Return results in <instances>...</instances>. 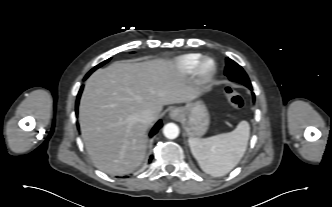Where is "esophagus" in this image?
Returning a JSON list of instances; mask_svg holds the SVG:
<instances>
[{
  "label": "esophagus",
  "instance_id": "34e87169",
  "mask_svg": "<svg viewBox=\"0 0 332 207\" xmlns=\"http://www.w3.org/2000/svg\"><path fill=\"white\" fill-rule=\"evenodd\" d=\"M172 119H179L182 116V110L179 108H174L169 113Z\"/></svg>",
  "mask_w": 332,
  "mask_h": 207
}]
</instances>
